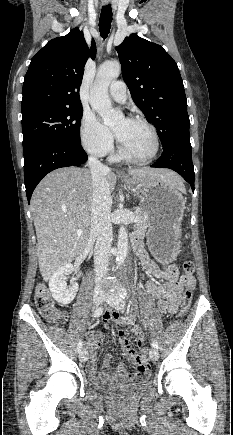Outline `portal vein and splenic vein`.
Listing matches in <instances>:
<instances>
[{
  "label": "portal vein and splenic vein",
  "instance_id": "portal-vein-and-splenic-vein-1",
  "mask_svg": "<svg viewBox=\"0 0 233 435\" xmlns=\"http://www.w3.org/2000/svg\"><path fill=\"white\" fill-rule=\"evenodd\" d=\"M138 217H135V219H134V222H137L138 221ZM82 234V231L81 230H78L77 231V235H81Z\"/></svg>",
  "mask_w": 233,
  "mask_h": 435
}]
</instances>
